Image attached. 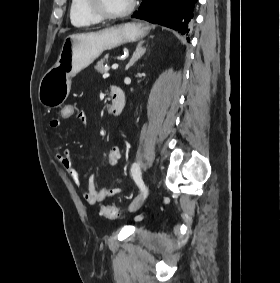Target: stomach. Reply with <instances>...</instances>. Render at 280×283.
Instances as JSON below:
<instances>
[{
	"label": "stomach",
	"instance_id": "obj_1",
	"mask_svg": "<svg viewBox=\"0 0 280 283\" xmlns=\"http://www.w3.org/2000/svg\"><path fill=\"white\" fill-rule=\"evenodd\" d=\"M150 29L146 23L130 22L96 32L67 36L56 64L40 81V103L48 108L61 106L70 93L72 77L93 63L104 51L141 40Z\"/></svg>",
	"mask_w": 280,
	"mask_h": 283
}]
</instances>
